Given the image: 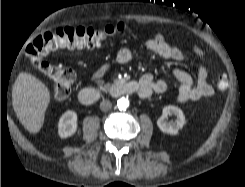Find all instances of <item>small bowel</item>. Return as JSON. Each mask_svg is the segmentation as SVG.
Segmentation results:
<instances>
[{
  "label": "small bowel",
  "instance_id": "small-bowel-1",
  "mask_svg": "<svg viewBox=\"0 0 245 187\" xmlns=\"http://www.w3.org/2000/svg\"><path fill=\"white\" fill-rule=\"evenodd\" d=\"M144 46L164 59L178 62H192L179 48L172 45L161 34L148 37L144 41ZM192 50L199 58H203L205 56L204 50L197 43L192 44ZM131 59L132 51L129 48L123 47L119 49L111 62L103 64L94 72L92 80H101L107 74L112 64H127ZM192 64H194L197 70L196 79L182 69L174 68L172 70V76L179 83V90L176 96V100L179 103L197 101L211 97L214 94L213 87L208 82V73L206 68L197 62H192ZM139 84L141 85L139 95L143 98H146L153 93H162L166 91L168 87L166 80L156 79L149 73L140 77Z\"/></svg>",
  "mask_w": 245,
  "mask_h": 187
}]
</instances>
